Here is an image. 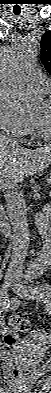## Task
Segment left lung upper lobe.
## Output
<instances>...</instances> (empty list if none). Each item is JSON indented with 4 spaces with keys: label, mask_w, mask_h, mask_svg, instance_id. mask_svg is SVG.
Instances as JSON below:
<instances>
[{
    "label": "left lung upper lobe",
    "mask_w": 51,
    "mask_h": 393,
    "mask_svg": "<svg viewBox=\"0 0 51 393\" xmlns=\"http://www.w3.org/2000/svg\"><path fill=\"white\" fill-rule=\"evenodd\" d=\"M41 60L51 75V31H47L41 39Z\"/></svg>",
    "instance_id": "obj_1"
}]
</instances>
